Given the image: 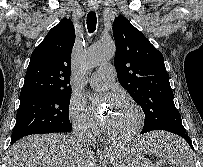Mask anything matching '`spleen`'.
<instances>
[{"label": "spleen", "instance_id": "1", "mask_svg": "<svg viewBox=\"0 0 203 167\" xmlns=\"http://www.w3.org/2000/svg\"><path fill=\"white\" fill-rule=\"evenodd\" d=\"M144 150L163 157L178 167H194L193 158L183 140L165 133H155L144 141Z\"/></svg>", "mask_w": 203, "mask_h": 167}]
</instances>
